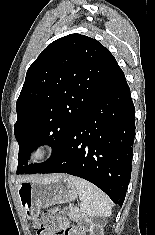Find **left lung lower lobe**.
Masks as SVG:
<instances>
[{
    "label": "left lung lower lobe",
    "instance_id": "0a47b994",
    "mask_svg": "<svg viewBox=\"0 0 155 235\" xmlns=\"http://www.w3.org/2000/svg\"><path fill=\"white\" fill-rule=\"evenodd\" d=\"M135 108L119 66L77 121L54 158L37 173H67L122 206L131 176Z\"/></svg>",
    "mask_w": 155,
    "mask_h": 235
}]
</instances>
